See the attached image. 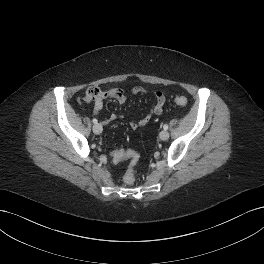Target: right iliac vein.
Here are the masks:
<instances>
[{
  "instance_id": "63e3f726",
  "label": "right iliac vein",
  "mask_w": 264,
  "mask_h": 264,
  "mask_svg": "<svg viewBox=\"0 0 264 264\" xmlns=\"http://www.w3.org/2000/svg\"><path fill=\"white\" fill-rule=\"evenodd\" d=\"M102 130H103V128H102V126L100 124H95L93 126V132L95 134H100L102 132Z\"/></svg>"
}]
</instances>
